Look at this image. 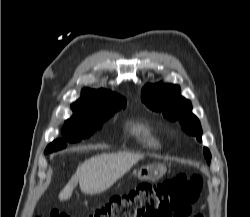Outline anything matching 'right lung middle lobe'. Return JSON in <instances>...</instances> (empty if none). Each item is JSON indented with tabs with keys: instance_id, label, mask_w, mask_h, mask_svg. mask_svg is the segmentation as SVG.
Masks as SVG:
<instances>
[{
	"instance_id": "dd1d6c3e",
	"label": "right lung middle lobe",
	"mask_w": 250,
	"mask_h": 217,
	"mask_svg": "<svg viewBox=\"0 0 250 217\" xmlns=\"http://www.w3.org/2000/svg\"><path fill=\"white\" fill-rule=\"evenodd\" d=\"M115 112L116 111L107 112L85 122H66L62 129V134L65 137V140H54L47 146L44 153L48 154L66 148L67 141L77 142L82 138L89 137L94 131L99 129Z\"/></svg>"
}]
</instances>
